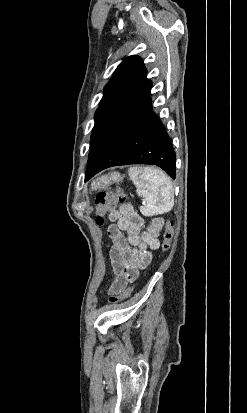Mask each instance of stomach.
Returning a JSON list of instances; mask_svg holds the SVG:
<instances>
[{"label":"stomach","mask_w":247,"mask_h":413,"mask_svg":"<svg viewBox=\"0 0 247 413\" xmlns=\"http://www.w3.org/2000/svg\"><path fill=\"white\" fill-rule=\"evenodd\" d=\"M123 176L120 172H108L94 178L90 184V190H106L113 182H122Z\"/></svg>","instance_id":"0dacf381"}]
</instances>
